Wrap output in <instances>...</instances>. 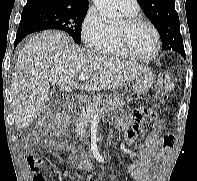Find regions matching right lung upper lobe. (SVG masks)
<instances>
[{
	"mask_svg": "<svg viewBox=\"0 0 197 181\" xmlns=\"http://www.w3.org/2000/svg\"><path fill=\"white\" fill-rule=\"evenodd\" d=\"M35 7L84 10L88 9V0H27L23 9L28 10Z\"/></svg>",
	"mask_w": 197,
	"mask_h": 181,
	"instance_id": "1",
	"label": "right lung upper lobe"
}]
</instances>
